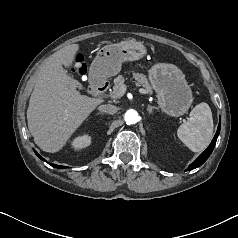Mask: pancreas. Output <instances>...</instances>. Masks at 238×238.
Masks as SVG:
<instances>
[{
  "instance_id": "obj_1",
  "label": "pancreas",
  "mask_w": 238,
  "mask_h": 238,
  "mask_svg": "<svg viewBox=\"0 0 238 238\" xmlns=\"http://www.w3.org/2000/svg\"><path fill=\"white\" fill-rule=\"evenodd\" d=\"M134 78L135 80L138 82L139 86H142L143 88H145L146 92L148 94H152V87L150 86L148 79L141 73H134ZM125 82V78L122 75H119L118 77H116L114 79V86H113V91L112 92H120L121 91V87Z\"/></svg>"
}]
</instances>
